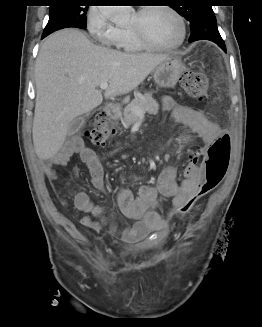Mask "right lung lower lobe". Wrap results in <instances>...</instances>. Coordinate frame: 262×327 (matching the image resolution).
Masks as SVG:
<instances>
[{"label": "right lung lower lobe", "mask_w": 262, "mask_h": 327, "mask_svg": "<svg viewBox=\"0 0 262 327\" xmlns=\"http://www.w3.org/2000/svg\"><path fill=\"white\" fill-rule=\"evenodd\" d=\"M46 36H47V34H46V35H45V34H43V35H42V39H43L44 37H46Z\"/></svg>", "instance_id": "1"}]
</instances>
